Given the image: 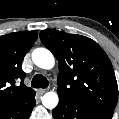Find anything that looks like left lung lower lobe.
Returning <instances> with one entry per match:
<instances>
[{"mask_svg":"<svg viewBox=\"0 0 119 119\" xmlns=\"http://www.w3.org/2000/svg\"><path fill=\"white\" fill-rule=\"evenodd\" d=\"M114 110L83 106L78 102L59 97V104L53 109L54 119H111Z\"/></svg>","mask_w":119,"mask_h":119,"instance_id":"obj_1","label":"left lung lower lobe"}]
</instances>
